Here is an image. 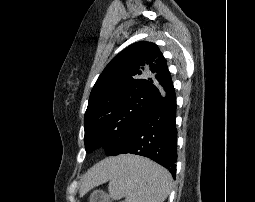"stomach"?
I'll return each mask as SVG.
<instances>
[{
	"label": "stomach",
	"mask_w": 255,
	"mask_h": 202,
	"mask_svg": "<svg viewBox=\"0 0 255 202\" xmlns=\"http://www.w3.org/2000/svg\"><path fill=\"white\" fill-rule=\"evenodd\" d=\"M109 196L102 191H93L90 195L89 202H109Z\"/></svg>",
	"instance_id": "stomach-1"
}]
</instances>
